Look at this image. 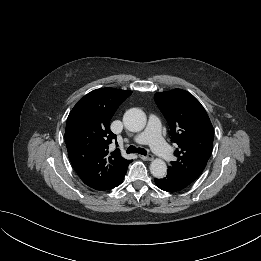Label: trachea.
I'll return each instance as SVG.
<instances>
[{"instance_id":"obj_1","label":"trachea","mask_w":261,"mask_h":261,"mask_svg":"<svg viewBox=\"0 0 261 261\" xmlns=\"http://www.w3.org/2000/svg\"><path fill=\"white\" fill-rule=\"evenodd\" d=\"M128 154L130 153H138V154H141V155H146L147 154V151L144 149V148H136L135 146L131 145L127 148V151H126Z\"/></svg>"}]
</instances>
